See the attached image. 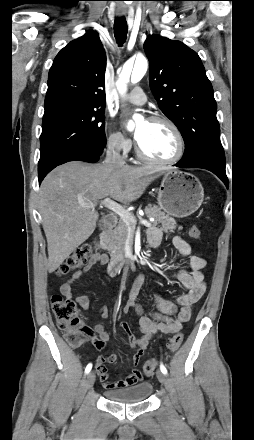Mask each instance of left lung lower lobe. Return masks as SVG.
Instances as JSON below:
<instances>
[{
  "label": "left lung lower lobe",
  "instance_id": "obj_1",
  "mask_svg": "<svg viewBox=\"0 0 254 440\" xmlns=\"http://www.w3.org/2000/svg\"><path fill=\"white\" fill-rule=\"evenodd\" d=\"M179 168H203L216 174L228 187L229 182L225 172V155L209 152L194 159L180 160L175 164Z\"/></svg>",
  "mask_w": 254,
  "mask_h": 440
}]
</instances>
